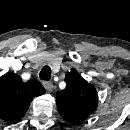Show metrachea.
<instances>
[{
    "instance_id": "1",
    "label": "trachea",
    "mask_w": 130,
    "mask_h": 130,
    "mask_svg": "<svg viewBox=\"0 0 130 130\" xmlns=\"http://www.w3.org/2000/svg\"><path fill=\"white\" fill-rule=\"evenodd\" d=\"M39 77L42 80L49 81L51 79V68L49 66H44L39 73Z\"/></svg>"
}]
</instances>
